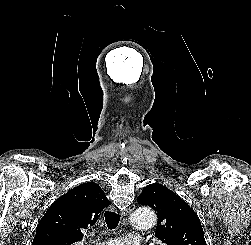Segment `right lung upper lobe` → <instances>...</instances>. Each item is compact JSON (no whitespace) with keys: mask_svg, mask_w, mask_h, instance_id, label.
<instances>
[{"mask_svg":"<svg viewBox=\"0 0 251 245\" xmlns=\"http://www.w3.org/2000/svg\"><path fill=\"white\" fill-rule=\"evenodd\" d=\"M110 204L98 184L76 186L49 207L37 226L32 245H72L82 240V230L94 225Z\"/></svg>","mask_w":251,"mask_h":245,"instance_id":"1","label":"right lung upper lobe"}]
</instances>
